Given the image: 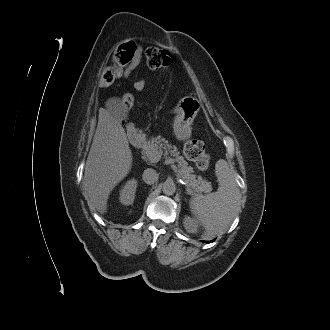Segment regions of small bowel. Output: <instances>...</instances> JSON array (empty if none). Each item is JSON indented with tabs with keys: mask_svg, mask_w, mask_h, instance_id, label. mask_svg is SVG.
I'll return each instance as SVG.
<instances>
[{
	"mask_svg": "<svg viewBox=\"0 0 330 330\" xmlns=\"http://www.w3.org/2000/svg\"><path fill=\"white\" fill-rule=\"evenodd\" d=\"M142 59L141 49L135 45V54L132 61L124 68L119 70L117 77L118 78H128L131 76L133 71L138 67ZM146 86V79L140 78L136 80L133 84V88L137 92H141L144 90Z\"/></svg>",
	"mask_w": 330,
	"mask_h": 330,
	"instance_id": "c3829d8e",
	"label": "small bowel"
}]
</instances>
